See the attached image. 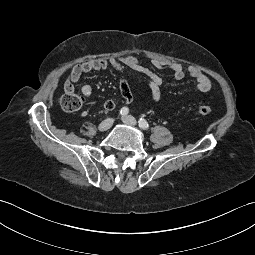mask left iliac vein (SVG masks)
I'll use <instances>...</instances> for the list:
<instances>
[{
    "mask_svg": "<svg viewBox=\"0 0 255 255\" xmlns=\"http://www.w3.org/2000/svg\"><path fill=\"white\" fill-rule=\"evenodd\" d=\"M122 121L127 125L135 126L137 124L136 119L130 115L123 116Z\"/></svg>",
    "mask_w": 255,
    "mask_h": 255,
    "instance_id": "left-iliac-vein-1",
    "label": "left iliac vein"
}]
</instances>
